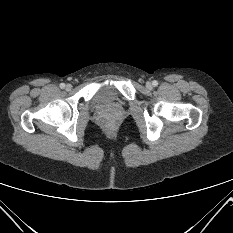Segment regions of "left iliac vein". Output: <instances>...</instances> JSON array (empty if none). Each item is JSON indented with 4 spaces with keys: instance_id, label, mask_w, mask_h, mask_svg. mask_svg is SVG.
I'll list each match as a JSON object with an SVG mask.
<instances>
[{
    "instance_id": "left-iliac-vein-1",
    "label": "left iliac vein",
    "mask_w": 233,
    "mask_h": 233,
    "mask_svg": "<svg viewBox=\"0 0 233 233\" xmlns=\"http://www.w3.org/2000/svg\"><path fill=\"white\" fill-rule=\"evenodd\" d=\"M146 87H147L148 89H152V84H151L150 82H147V83H146Z\"/></svg>"
}]
</instances>
